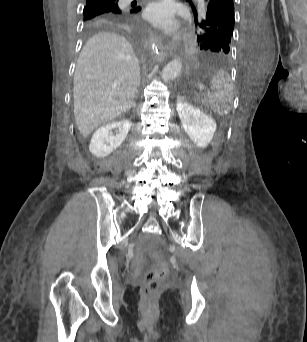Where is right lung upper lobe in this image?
Returning <instances> with one entry per match:
<instances>
[{"label":"right lung upper lobe","mask_w":307,"mask_h":342,"mask_svg":"<svg viewBox=\"0 0 307 342\" xmlns=\"http://www.w3.org/2000/svg\"><path fill=\"white\" fill-rule=\"evenodd\" d=\"M134 6L127 5L121 0H86L84 10L102 12L83 20V30L87 33L101 30L134 33L139 25L141 9Z\"/></svg>","instance_id":"cb5924a9"}]
</instances>
